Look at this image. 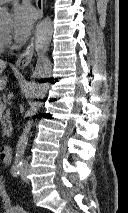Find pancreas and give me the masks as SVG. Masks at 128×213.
I'll return each instance as SVG.
<instances>
[{
	"label": "pancreas",
	"instance_id": "pancreas-1",
	"mask_svg": "<svg viewBox=\"0 0 128 213\" xmlns=\"http://www.w3.org/2000/svg\"><path fill=\"white\" fill-rule=\"evenodd\" d=\"M2 98H0V104H2ZM0 121L2 123V136H10L12 131L11 121H10V111L0 112Z\"/></svg>",
	"mask_w": 128,
	"mask_h": 213
}]
</instances>
